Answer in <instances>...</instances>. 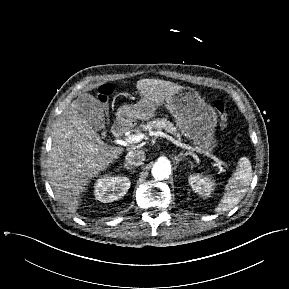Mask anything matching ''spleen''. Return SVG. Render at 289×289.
<instances>
[{
	"label": "spleen",
	"mask_w": 289,
	"mask_h": 289,
	"mask_svg": "<svg viewBox=\"0 0 289 289\" xmlns=\"http://www.w3.org/2000/svg\"><path fill=\"white\" fill-rule=\"evenodd\" d=\"M251 180V163L248 158L242 157L238 162L236 172L229 178L225 193L215 211L222 213L234 208L244 198Z\"/></svg>",
	"instance_id": "3e777b00"
}]
</instances>
